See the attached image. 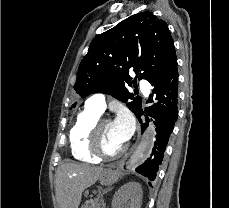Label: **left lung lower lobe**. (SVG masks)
<instances>
[{
    "instance_id": "0a47b994",
    "label": "left lung lower lobe",
    "mask_w": 229,
    "mask_h": 208,
    "mask_svg": "<svg viewBox=\"0 0 229 208\" xmlns=\"http://www.w3.org/2000/svg\"><path fill=\"white\" fill-rule=\"evenodd\" d=\"M152 86H154L152 91L154 95L151 94L150 96L158 102L145 109L141 106L135 113L140 122H142L141 115H144V113L149 114L156 120L154 122L157 133L154 143L155 147L152 149V153L145 163L136 168V172L147 177L149 180L156 178V171L162 162L168 139L178 118L177 62L174 63L169 74L161 82ZM147 102L151 103L153 100ZM145 118L148 121L147 115H145ZM141 127L143 131L146 124H142ZM149 184L151 185V183Z\"/></svg>"
}]
</instances>
